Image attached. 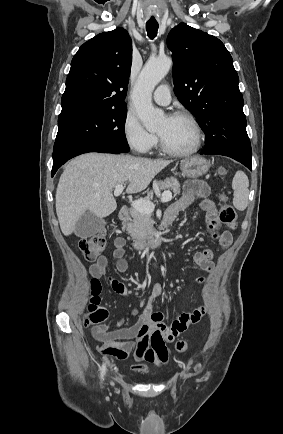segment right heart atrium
Masks as SVG:
<instances>
[{
	"label": "right heart atrium",
	"mask_w": 283,
	"mask_h": 434,
	"mask_svg": "<svg viewBox=\"0 0 283 434\" xmlns=\"http://www.w3.org/2000/svg\"><path fill=\"white\" fill-rule=\"evenodd\" d=\"M123 135L127 144L139 153L149 152L157 143L156 135L146 130L132 112H127L124 118Z\"/></svg>",
	"instance_id": "obj_1"
}]
</instances>
